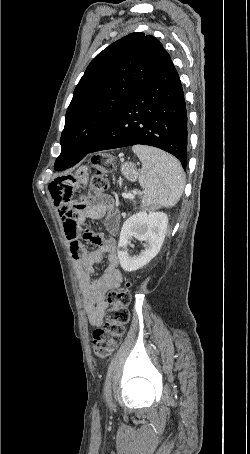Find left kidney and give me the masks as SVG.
Masks as SVG:
<instances>
[{"label":"left kidney","instance_id":"obj_1","mask_svg":"<svg viewBox=\"0 0 250 454\" xmlns=\"http://www.w3.org/2000/svg\"><path fill=\"white\" fill-rule=\"evenodd\" d=\"M168 226L164 212L143 210L130 216L123 224L118 243L121 267L132 272L148 264L160 251ZM132 238L145 241V249L137 256H130L127 246Z\"/></svg>","mask_w":250,"mask_h":454}]
</instances>
